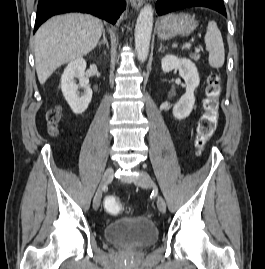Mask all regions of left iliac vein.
Segmentation results:
<instances>
[{"mask_svg": "<svg viewBox=\"0 0 265 269\" xmlns=\"http://www.w3.org/2000/svg\"><path fill=\"white\" fill-rule=\"evenodd\" d=\"M135 184L142 188L155 187V184L151 179L150 175L145 171H140V175L135 180ZM157 207L161 213L164 214L166 212V203L161 196H158L157 198Z\"/></svg>", "mask_w": 265, "mask_h": 269, "instance_id": "4c4485c4", "label": "left iliac vein"}]
</instances>
